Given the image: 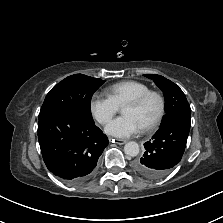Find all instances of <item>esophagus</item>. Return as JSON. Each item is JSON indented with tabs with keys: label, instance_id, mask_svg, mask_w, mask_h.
Segmentation results:
<instances>
[{
	"label": "esophagus",
	"instance_id": "obj_1",
	"mask_svg": "<svg viewBox=\"0 0 223 223\" xmlns=\"http://www.w3.org/2000/svg\"><path fill=\"white\" fill-rule=\"evenodd\" d=\"M110 140H112V142H116L119 145H123L126 143V140L124 139H110Z\"/></svg>",
	"mask_w": 223,
	"mask_h": 223
}]
</instances>
